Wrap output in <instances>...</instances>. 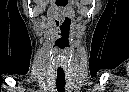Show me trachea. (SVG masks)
Returning a JSON list of instances; mask_svg holds the SVG:
<instances>
[{
  "instance_id": "obj_1",
  "label": "trachea",
  "mask_w": 129,
  "mask_h": 92,
  "mask_svg": "<svg viewBox=\"0 0 129 92\" xmlns=\"http://www.w3.org/2000/svg\"><path fill=\"white\" fill-rule=\"evenodd\" d=\"M65 73L62 71L57 72V78H56V85H57V91L58 92H64L65 91Z\"/></svg>"
}]
</instances>
